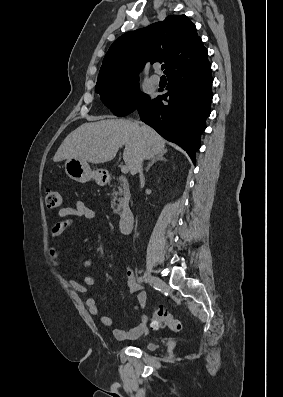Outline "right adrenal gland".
<instances>
[{
  "label": "right adrenal gland",
  "mask_w": 283,
  "mask_h": 397,
  "mask_svg": "<svg viewBox=\"0 0 283 397\" xmlns=\"http://www.w3.org/2000/svg\"><path fill=\"white\" fill-rule=\"evenodd\" d=\"M166 154L165 152H162L160 154H158L157 156H155L154 158H152L151 162L148 164L147 168H146V172L149 171L150 167L157 161H167V159L164 157V155Z\"/></svg>",
  "instance_id": "obj_1"
}]
</instances>
